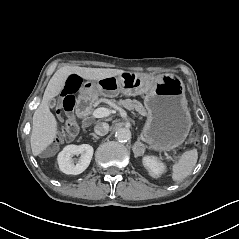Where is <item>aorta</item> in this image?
I'll return each instance as SVG.
<instances>
[{
	"mask_svg": "<svg viewBox=\"0 0 239 239\" xmlns=\"http://www.w3.org/2000/svg\"><path fill=\"white\" fill-rule=\"evenodd\" d=\"M115 138L118 142H128L131 139V132L127 128H119L115 132Z\"/></svg>",
	"mask_w": 239,
	"mask_h": 239,
	"instance_id": "762f6f07",
	"label": "aorta"
}]
</instances>
